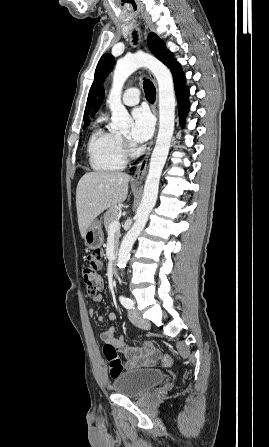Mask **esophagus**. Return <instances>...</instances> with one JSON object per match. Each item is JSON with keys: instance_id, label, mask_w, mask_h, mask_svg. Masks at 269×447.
<instances>
[{"instance_id": "esophagus-1", "label": "esophagus", "mask_w": 269, "mask_h": 447, "mask_svg": "<svg viewBox=\"0 0 269 447\" xmlns=\"http://www.w3.org/2000/svg\"><path fill=\"white\" fill-rule=\"evenodd\" d=\"M147 36H148V31H147V29H144L145 41L147 40ZM154 114L158 118V101H157V98H156V102L154 104ZM151 151H152V148H150V150H148L146 155L137 164V168H136V171L134 173V176H133V179H132V183H142L143 179L145 178V175L147 173L148 159L150 157Z\"/></svg>"}]
</instances>
